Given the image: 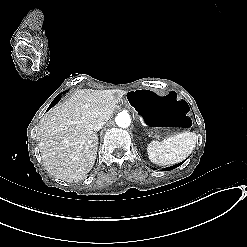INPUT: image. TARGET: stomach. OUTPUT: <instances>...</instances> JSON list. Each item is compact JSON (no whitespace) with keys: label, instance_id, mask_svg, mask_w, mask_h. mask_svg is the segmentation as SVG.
Returning <instances> with one entry per match:
<instances>
[{"label":"stomach","instance_id":"0dacf381","mask_svg":"<svg viewBox=\"0 0 247 247\" xmlns=\"http://www.w3.org/2000/svg\"><path fill=\"white\" fill-rule=\"evenodd\" d=\"M126 98L147 133L155 138L175 136L192 125L187 102L174 91L159 93L144 88L129 91Z\"/></svg>","mask_w":247,"mask_h":247}]
</instances>
